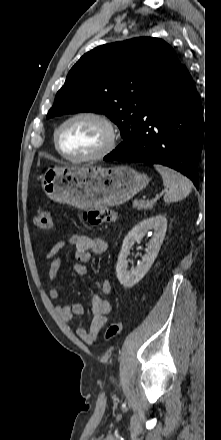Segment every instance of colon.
I'll list each match as a JSON object with an SVG mask.
<instances>
[{
    "instance_id": "5ec220e1",
    "label": "colon",
    "mask_w": 221,
    "mask_h": 440,
    "mask_svg": "<svg viewBox=\"0 0 221 440\" xmlns=\"http://www.w3.org/2000/svg\"><path fill=\"white\" fill-rule=\"evenodd\" d=\"M84 221L90 225L96 226L105 223H112L116 221L117 214L109 209H93L85 211L83 214ZM35 226L43 231H50L53 228V221L49 210L45 208H40L34 217ZM122 330V321L120 319H115L108 326L105 339L111 341L115 339Z\"/></svg>"
}]
</instances>
